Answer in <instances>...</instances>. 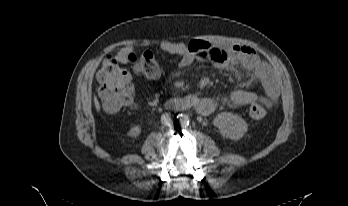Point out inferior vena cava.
<instances>
[{"instance_id": "obj_1", "label": "inferior vena cava", "mask_w": 348, "mask_h": 206, "mask_svg": "<svg viewBox=\"0 0 348 206\" xmlns=\"http://www.w3.org/2000/svg\"><path fill=\"white\" fill-rule=\"evenodd\" d=\"M161 121L163 124H169L172 122V115L170 113H165L161 117Z\"/></svg>"}]
</instances>
